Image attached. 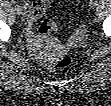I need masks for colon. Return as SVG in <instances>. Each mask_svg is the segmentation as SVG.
Wrapping results in <instances>:
<instances>
[{
    "label": "colon",
    "instance_id": "1",
    "mask_svg": "<svg viewBox=\"0 0 111 106\" xmlns=\"http://www.w3.org/2000/svg\"><path fill=\"white\" fill-rule=\"evenodd\" d=\"M57 31V24L51 18L43 19L38 26V33L41 37H48ZM60 50V49H57ZM73 62V57L67 53H59L53 58L49 64L50 69H63L70 66Z\"/></svg>",
    "mask_w": 111,
    "mask_h": 106
}]
</instances>
